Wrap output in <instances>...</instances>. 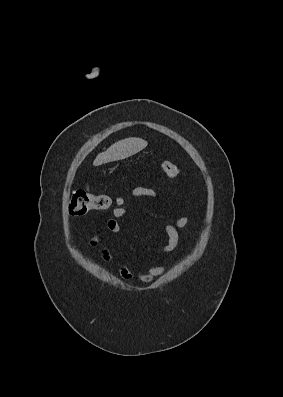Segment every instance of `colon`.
Segmentation results:
<instances>
[{"mask_svg":"<svg viewBox=\"0 0 283 397\" xmlns=\"http://www.w3.org/2000/svg\"><path fill=\"white\" fill-rule=\"evenodd\" d=\"M164 174L173 178L180 173V168L172 162L165 161L161 165ZM114 204L113 199L106 194H93L86 189L73 192L68 210L71 215H84L91 210H107Z\"/></svg>","mask_w":283,"mask_h":397,"instance_id":"colon-1","label":"colon"}]
</instances>
